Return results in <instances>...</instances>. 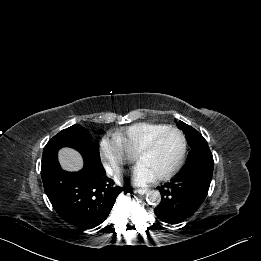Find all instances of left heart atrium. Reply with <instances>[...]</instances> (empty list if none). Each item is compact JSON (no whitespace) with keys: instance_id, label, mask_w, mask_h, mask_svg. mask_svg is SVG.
<instances>
[{"instance_id":"obj_1","label":"left heart atrium","mask_w":261,"mask_h":261,"mask_svg":"<svg viewBox=\"0 0 261 261\" xmlns=\"http://www.w3.org/2000/svg\"><path fill=\"white\" fill-rule=\"evenodd\" d=\"M122 178L135 185H145L152 182L156 176L143 164L138 162L132 171L124 175Z\"/></svg>"}]
</instances>
